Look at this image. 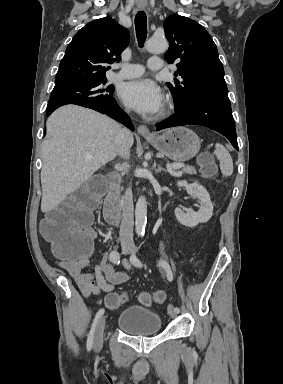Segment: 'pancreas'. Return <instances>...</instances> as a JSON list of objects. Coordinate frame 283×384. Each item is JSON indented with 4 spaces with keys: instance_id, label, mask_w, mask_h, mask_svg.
<instances>
[{
    "instance_id": "pancreas-1",
    "label": "pancreas",
    "mask_w": 283,
    "mask_h": 384,
    "mask_svg": "<svg viewBox=\"0 0 283 384\" xmlns=\"http://www.w3.org/2000/svg\"><path fill=\"white\" fill-rule=\"evenodd\" d=\"M182 170L185 172V174H196V170L193 168V166H184Z\"/></svg>"
}]
</instances>
